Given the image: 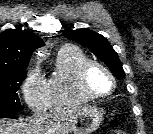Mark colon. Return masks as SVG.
<instances>
[{"mask_svg":"<svg viewBox=\"0 0 153 134\" xmlns=\"http://www.w3.org/2000/svg\"><path fill=\"white\" fill-rule=\"evenodd\" d=\"M116 124H117L116 120H113V121H112V125H113V126H116ZM115 134H126V133H125L124 131L117 130V131L115 132Z\"/></svg>","mask_w":153,"mask_h":134,"instance_id":"1","label":"colon"}]
</instances>
